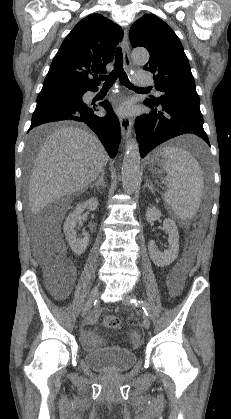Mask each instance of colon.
Returning <instances> with one entry per match:
<instances>
[{
    "label": "colon",
    "instance_id": "colon-1",
    "mask_svg": "<svg viewBox=\"0 0 231 419\" xmlns=\"http://www.w3.org/2000/svg\"><path fill=\"white\" fill-rule=\"evenodd\" d=\"M45 272L52 283L62 281L67 283L72 275L70 264L60 256L58 251L45 257ZM103 324L111 330H116L120 327V319L114 315H106L103 318ZM134 340L137 342V338Z\"/></svg>",
    "mask_w": 231,
    "mask_h": 419
}]
</instances>
